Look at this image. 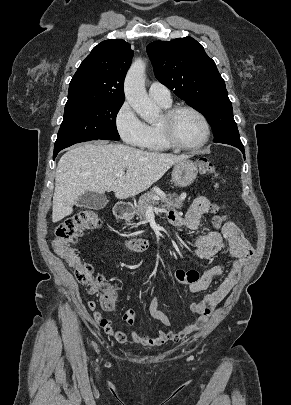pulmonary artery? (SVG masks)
Returning a JSON list of instances; mask_svg holds the SVG:
<instances>
[{"instance_id":"obj_1","label":"pulmonary artery","mask_w":291,"mask_h":405,"mask_svg":"<svg viewBox=\"0 0 291 405\" xmlns=\"http://www.w3.org/2000/svg\"><path fill=\"white\" fill-rule=\"evenodd\" d=\"M149 96L160 103H171V94L169 89L160 82H152L148 89Z\"/></svg>"}]
</instances>
